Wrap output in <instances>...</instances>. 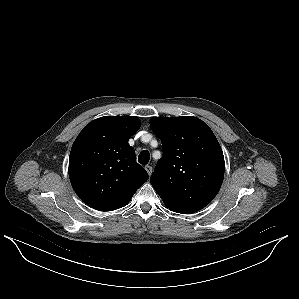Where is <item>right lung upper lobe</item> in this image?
Returning <instances> with one entry per match:
<instances>
[{
    "label": "right lung upper lobe",
    "mask_w": 299,
    "mask_h": 299,
    "mask_svg": "<svg viewBox=\"0 0 299 299\" xmlns=\"http://www.w3.org/2000/svg\"><path fill=\"white\" fill-rule=\"evenodd\" d=\"M140 126L137 117L104 116L86 125L74 141L69 177L88 206L99 211L124 207L148 180L128 143Z\"/></svg>",
    "instance_id": "cb5924a9"
}]
</instances>
